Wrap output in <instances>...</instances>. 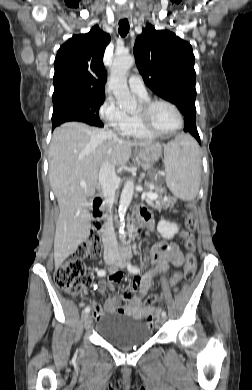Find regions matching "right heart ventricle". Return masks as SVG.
Wrapping results in <instances>:
<instances>
[{
    "label": "right heart ventricle",
    "mask_w": 252,
    "mask_h": 390,
    "mask_svg": "<svg viewBox=\"0 0 252 390\" xmlns=\"http://www.w3.org/2000/svg\"><path fill=\"white\" fill-rule=\"evenodd\" d=\"M144 102L148 101L147 99H143ZM131 118V130L129 132V135L127 137L136 139V140H151L154 138V136L146 133L139 125V122L135 116L130 117Z\"/></svg>",
    "instance_id": "1"
}]
</instances>
